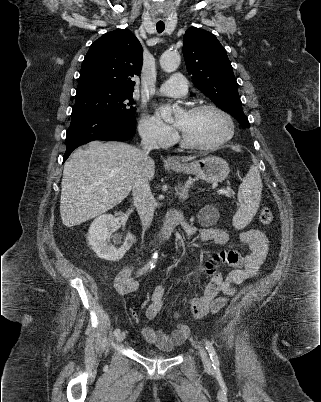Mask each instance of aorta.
<instances>
[{
    "instance_id": "1",
    "label": "aorta",
    "mask_w": 321,
    "mask_h": 402,
    "mask_svg": "<svg viewBox=\"0 0 321 402\" xmlns=\"http://www.w3.org/2000/svg\"><path fill=\"white\" fill-rule=\"evenodd\" d=\"M181 58L176 51H165L160 57V66L165 72H174L179 64ZM157 262V254L153 255V258L149 262V265L154 267Z\"/></svg>"
}]
</instances>
